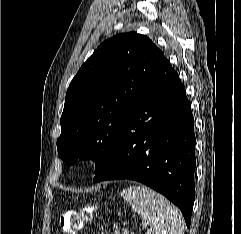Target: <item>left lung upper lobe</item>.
I'll list each match as a JSON object with an SVG mask.
<instances>
[{"label":"left lung upper lobe","mask_w":241,"mask_h":234,"mask_svg":"<svg viewBox=\"0 0 241 234\" xmlns=\"http://www.w3.org/2000/svg\"><path fill=\"white\" fill-rule=\"evenodd\" d=\"M164 58L147 36L135 32L118 34L94 51L66 93L57 150L67 165L91 158L99 172L131 105Z\"/></svg>","instance_id":"obj_1"}]
</instances>
